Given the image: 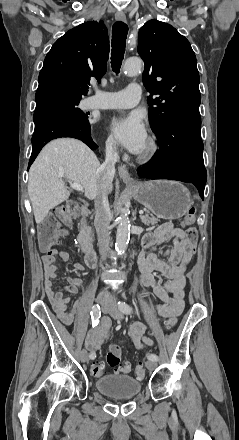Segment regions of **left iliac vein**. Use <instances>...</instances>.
I'll list each match as a JSON object with an SVG mask.
<instances>
[{"instance_id": "obj_1", "label": "left iliac vein", "mask_w": 239, "mask_h": 440, "mask_svg": "<svg viewBox=\"0 0 239 440\" xmlns=\"http://www.w3.org/2000/svg\"><path fill=\"white\" fill-rule=\"evenodd\" d=\"M108 313L114 318V319H122L123 314L122 311L117 307L115 304H110V308L108 310ZM146 367L149 370H154L157 367V361L149 360L146 362Z\"/></svg>"}]
</instances>
